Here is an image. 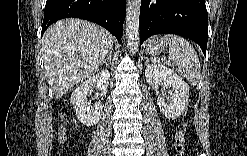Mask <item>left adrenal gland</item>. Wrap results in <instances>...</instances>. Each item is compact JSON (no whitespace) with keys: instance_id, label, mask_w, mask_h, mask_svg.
I'll list each match as a JSON object with an SVG mask.
<instances>
[{"instance_id":"1","label":"left adrenal gland","mask_w":247,"mask_h":156,"mask_svg":"<svg viewBox=\"0 0 247 156\" xmlns=\"http://www.w3.org/2000/svg\"><path fill=\"white\" fill-rule=\"evenodd\" d=\"M148 62H149V58H148V56H147V57H146V61H145V65H147Z\"/></svg>"}]
</instances>
